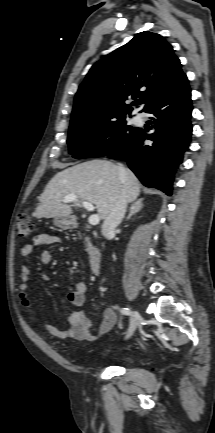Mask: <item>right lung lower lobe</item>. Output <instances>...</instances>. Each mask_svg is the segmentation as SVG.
Listing matches in <instances>:
<instances>
[{
	"mask_svg": "<svg viewBox=\"0 0 215 433\" xmlns=\"http://www.w3.org/2000/svg\"><path fill=\"white\" fill-rule=\"evenodd\" d=\"M145 112L152 114L150 119L155 132L147 135L137 130L123 147L108 157L125 160L145 186L170 196L174 172L191 140L192 104L188 81L154 101ZM145 139L153 143L146 145Z\"/></svg>",
	"mask_w": 215,
	"mask_h": 433,
	"instance_id": "right-lung-lower-lobe-1",
	"label": "right lung lower lobe"
}]
</instances>
